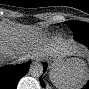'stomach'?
Returning a JSON list of instances; mask_svg holds the SVG:
<instances>
[{"label":"stomach","instance_id":"1","mask_svg":"<svg viewBox=\"0 0 89 89\" xmlns=\"http://www.w3.org/2000/svg\"><path fill=\"white\" fill-rule=\"evenodd\" d=\"M67 60H63V59H57V58H54V59H51L50 62H51V67H55L57 65H61L62 63L66 62Z\"/></svg>","mask_w":89,"mask_h":89}]
</instances>
